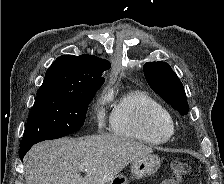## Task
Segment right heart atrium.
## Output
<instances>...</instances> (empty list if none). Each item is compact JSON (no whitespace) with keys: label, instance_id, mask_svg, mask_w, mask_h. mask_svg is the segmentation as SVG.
<instances>
[{"label":"right heart atrium","instance_id":"1","mask_svg":"<svg viewBox=\"0 0 224 184\" xmlns=\"http://www.w3.org/2000/svg\"><path fill=\"white\" fill-rule=\"evenodd\" d=\"M103 104H104V100H100L96 106V111H95L96 119L99 126H102L104 123Z\"/></svg>","mask_w":224,"mask_h":184}]
</instances>
